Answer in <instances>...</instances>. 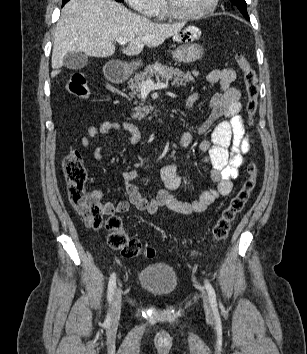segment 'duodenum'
I'll return each mask as SVG.
<instances>
[{
  "instance_id": "duodenum-1",
  "label": "duodenum",
  "mask_w": 307,
  "mask_h": 354,
  "mask_svg": "<svg viewBox=\"0 0 307 354\" xmlns=\"http://www.w3.org/2000/svg\"><path fill=\"white\" fill-rule=\"evenodd\" d=\"M107 76L109 80L113 83H120L123 82L125 79L123 72L115 67L108 69ZM159 122H161L160 118L154 120V123H159Z\"/></svg>"
}]
</instances>
